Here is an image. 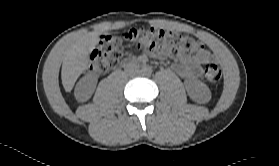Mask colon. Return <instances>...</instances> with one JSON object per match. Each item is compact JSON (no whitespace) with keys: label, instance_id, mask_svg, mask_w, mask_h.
Instances as JSON below:
<instances>
[{"label":"colon","instance_id":"colon-1","mask_svg":"<svg viewBox=\"0 0 279 166\" xmlns=\"http://www.w3.org/2000/svg\"><path fill=\"white\" fill-rule=\"evenodd\" d=\"M123 41L129 42L135 49L147 48L155 55L166 53L174 58L202 50L201 44L188 35L157 28H132L121 36H102L91 54L89 71L104 74L115 68L123 56ZM203 74L208 82L217 84L221 80L222 70L218 64L208 62L204 65Z\"/></svg>","mask_w":279,"mask_h":166}]
</instances>
